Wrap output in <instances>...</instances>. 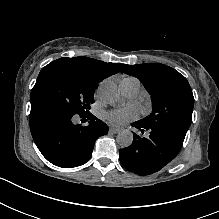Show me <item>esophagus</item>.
Segmentation results:
<instances>
[{"instance_id":"obj_1","label":"esophagus","mask_w":219,"mask_h":219,"mask_svg":"<svg viewBox=\"0 0 219 219\" xmlns=\"http://www.w3.org/2000/svg\"><path fill=\"white\" fill-rule=\"evenodd\" d=\"M109 131L112 134H118L120 132V130L118 128H115V127H110Z\"/></svg>"}]
</instances>
